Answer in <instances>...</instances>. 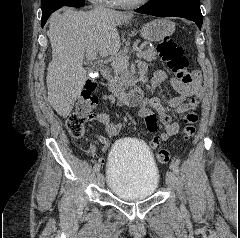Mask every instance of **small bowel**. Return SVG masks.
<instances>
[{
  "label": "small bowel",
  "mask_w": 240,
  "mask_h": 238,
  "mask_svg": "<svg viewBox=\"0 0 240 238\" xmlns=\"http://www.w3.org/2000/svg\"><path fill=\"white\" fill-rule=\"evenodd\" d=\"M140 70L142 75H145V64H140ZM194 74V82L190 85H184L176 78H169L162 70H157L154 73L150 87L151 96L143 98L138 104L139 116L145 122L148 131L151 133H156L158 130L161 131L159 135H154L153 139L150 141L149 145L152 149L157 148L162 142L175 136L179 132V124L172 121L167 108L176 113L185 114L184 122L186 124H194L197 122L198 116L195 111L198 108L199 98L201 97L203 90L201 87L200 74L196 71ZM166 80L170 81L172 87L178 93V96L170 98L165 106L159 98L153 96V93L155 92L157 85ZM103 99L112 105L116 104V99L112 95L104 94ZM89 119L106 126L108 139L105 137H98L99 142L103 145L102 153L106 154L109 149L108 143L114 142V139L120 132L121 124L114 122L103 112L92 113L89 115ZM103 154H100L97 159L99 166L105 165L106 159Z\"/></svg>",
  "instance_id": "1"
}]
</instances>
